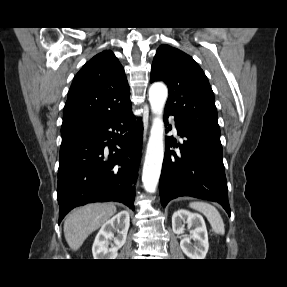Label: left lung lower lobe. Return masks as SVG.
Returning <instances> with one entry per match:
<instances>
[{"label": "left lung lower lobe", "instance_id": "0a47b994", "mask_svg": "<svg viewBox=\"0 0 287 287\" xmlns=\"http://www.w3.org/2000/svg\"><path fill=\"white\" fill-rule=\"evenodd\" d=\"M171 113L165 111L167 123ZM178 135L183 141L178 145L166 137L165 155L159 182L161 204L180 196H191L218 202L230 216L228 188L222 160V146L199 134L174 117ZM179 147L176 153L169 147Z\"/></svg>", "mask_w": 287, "mask_h": 287}]
</instances>
